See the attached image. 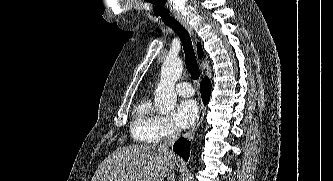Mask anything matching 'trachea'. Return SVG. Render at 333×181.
Wrapping results in <instances>:
<instances>
[{
    "instance_id": "3493384b",
    "label": "trachea",
    "mask_w": 333,
    "mask_h": 181,
    "mask_svg": "<svg viewBox=\"0 0 333 181\" xmlns=\"http://www.w3.org/2000/svg\"><path fill=\"white\" fill-rule=\"evenodd\" d=\"M167 26H170L179 36L183 50L185 53V62L187 69L194 80H198L200 77V69L197 64L196 56L193 50L192 41L187 30L176 20H170L164 22Z\"/></svg>"
}]
</instances>
